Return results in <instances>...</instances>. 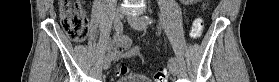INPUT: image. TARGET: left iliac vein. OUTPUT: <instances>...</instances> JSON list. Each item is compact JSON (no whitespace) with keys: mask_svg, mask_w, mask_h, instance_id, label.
Returning <instances> with one entry per match:
<instances>
[{"mask_svg":"<svg viewBox=\"0 0 279 82\" xmlns=\"http://www.w3.org/2000/svg\"><path fill=\"white\" fill-rule=\"evenodd\" d=\"M128 22L133 28L139 31L144 30L147 25V23L139 15L128 16ZM168 69L172 75L174 76L178 75V68L175 63L169 62Z\"/></svg>","mask_w":279,"mask_h":82,"instance_id":"4c4485c4","label":"left iliac vein"}]
</instances>
